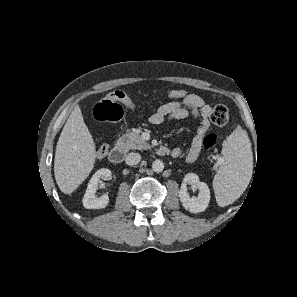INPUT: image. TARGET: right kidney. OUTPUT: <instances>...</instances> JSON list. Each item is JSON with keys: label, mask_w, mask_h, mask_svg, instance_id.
Segmentation results:
<instances>
[{"label": "right kidney", "mask_w": 297, "mask_h": 297, "mask_svg": "<svg viewBox=\"0 0 297 297\" xmlns=\"http://www.w3.org/2000/svg\"><path fill=\"white\" fill-rule=\"evenodd\" d=\"M101 179L110 180L111 171L103 168L98 170L90 179L82 203L87 209H103L109 203L108 195L104 194L101 197H96L95 193L98 190V185Z\"/></svg>", "instance_id": "1"}]
</instances>
